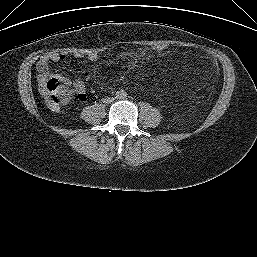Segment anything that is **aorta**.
I'll return each mask as SVG.
<instances>
[{
  "label": "aorta",
  "mask_w": 257,
  "mask_h": 257,
  "mask_svg": "<svg viewBox=\"0 0 257 257\" xmlns=\"http://www.w3.org/2000/svg\"><path fill=\"white\" fill-rule=\"evenodd\" d=\"M118 97H119V98H124V97H126V92H124V91L119 92V93H118Z\"/></svg>",
  "instance_id": "obj_1"
}]
</instances>
